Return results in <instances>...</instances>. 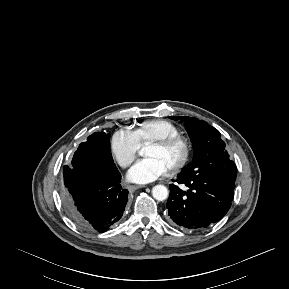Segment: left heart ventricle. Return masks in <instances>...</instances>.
Wrapping results in <instances>:
<instances>
[{"label":"left heart ventricle","instance_id":"left-heart-ventricle-1","mask_svg":"<svg viewBox=\"0 0 289 289\" xmlns=\"http://www.w3.org/2000/svg\"><path fill=\"white\" fill-rule=\"evenodd\" d=\"M145 156L159 160L168 170L179 160L181 149L179 146H172L166 149L149 146L145 151Z\"/></svg>","mask_w":289,"mask_h":289}]
</instances>
